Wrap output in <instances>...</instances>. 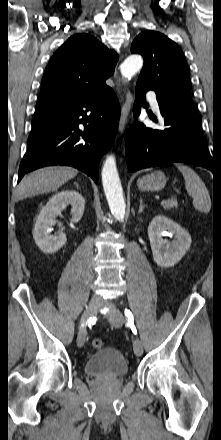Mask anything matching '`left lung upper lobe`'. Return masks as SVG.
<instances>
[{
  "label": "left lung upper lobe",
  "mask_w": 221,
  "mask_h": 440,
  "mask_svg": "<svg viewBox=\"0 0 221 440\" xmlns=\"http://www.w3.org/2000/svg\"><path fill=\"white\" fill-rule=\"evenodd\" d=\"M131 52L144 58L137 82L150 87L161 98L196 109L190 96L188 65L175 42L159 32L147 30L134 39Z\"/></svg>",
  "instance_id": "left-lung-upper-lobe-1"
}]
</instances>
